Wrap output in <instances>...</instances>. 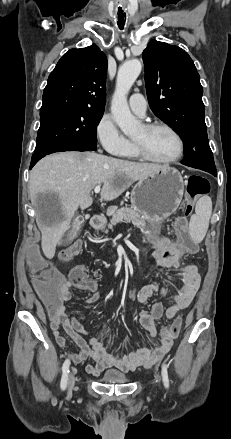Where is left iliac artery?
I'll use <instances>...</instances> for the list:
<instances>
[{
  "label": "left iliac artery",
  "mask_w": 231,
  "mask_h": 439,
  "mask_svg": "<svg viewBox=\"0 0 231 439\" xmlns=\"http://www.w3.org/2000/svg\"><path fill=\"white\" fill-rule=\"evenodd\" d=\"M162 379H163L164 386L166 388H168L169 387V378H168V372H167L166 364L162 365Z\"/></svg>",
  "instance_id": "obj_1"
}]
</instances>
